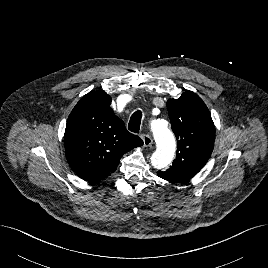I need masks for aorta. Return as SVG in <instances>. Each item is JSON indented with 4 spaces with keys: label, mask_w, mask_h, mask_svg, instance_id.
<instances>
[{
    "label": "aorta",
    "mask_w": 268,
    "mask_h": 268,
    "mask_svg": "<svg viewBox=\"0 0 268 268\" xmlns=\"http://www.w3.org/2000/svg\"><path fill=\"white\" fill-rule=\"evenodd\" d=\"M152 131L157 150L151 156V164L157 169H164L173 160L176 148L175 139L163 120L154 121Z\"/></svg>",
    "instance_id": "obj_1"
}]
</instances>
